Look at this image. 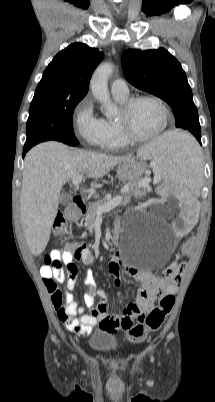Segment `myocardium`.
Here are the masks:
<instances>
[{
  "label": "myocardium",
  "instance_id": "myocardium-1",
  "mask_svg": "<svg viewBox=\"0 0 215 402\" xmlns=\"http://www.w3.org/2000/svg\"><path fill=\"white\" fill-rule=\"evenodd\" d=\"M141 101H151L156 103L162 110L164 115V121L162 127L151 135L141 136L136 134L132 127L130 116L133 108L136 104ZM170 122V110L166 103L153 95H139L135 97L128 98L123 105L121 106L120 113L118 115V124L121 130L122 135L129 143H141L154 140L161 136L168 129Z\"/></svg>",
  "mask_w": 215,
  "mask_h": 402
}]
</instances>
